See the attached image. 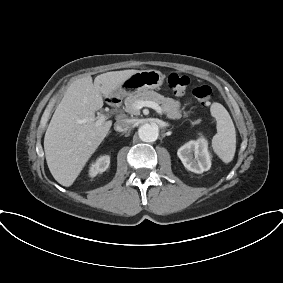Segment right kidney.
Masks as SVG:
<instances>
[{
  "label": "right kidney",
  "instance_id": "right-kidney-1",
  "mask_svg": "<svg viewBox=\"0 0 283 283\" xmlns=\"http://www.w3.org/2000/svg\"><path fill=\"white\" fill-rule=\"evenodd\" d=\"M110 164V157L105 155L101 156L90 167L89 174L91 177H95L98 173L104 172Z\"/></svg>",
  "mask_w": 283,
  "mask_h": 283
}]
</instances>
